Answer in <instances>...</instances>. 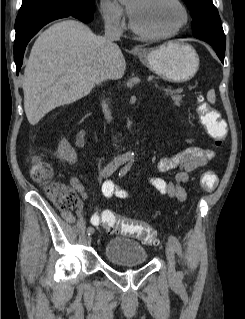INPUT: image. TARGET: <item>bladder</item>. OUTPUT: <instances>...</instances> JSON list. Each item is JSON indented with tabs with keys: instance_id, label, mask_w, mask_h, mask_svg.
<instances>
[{
	"instance_id": "31cf9c89",
	"label": "bladder",
	"mask_w": 245,
	"mask_h": 319,
	"mask_svg": "<svg viewBox=\"0 0 245 319\" xmlns=\"http://www.w3.org/2000/svg\"><path fill=\"white\" fill-rule=\"evenodd\" d=\"M104 256L107 261L124 267L143 264L148 259L145 247L126 237L110 239L104 247Z\"/></svg>"
}]
</instances>
